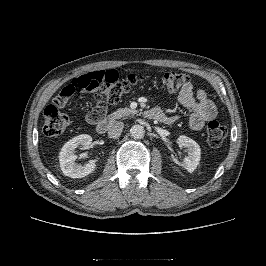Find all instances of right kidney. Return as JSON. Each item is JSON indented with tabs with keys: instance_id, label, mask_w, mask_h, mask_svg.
Returning a JSON list of instances; mask_svg holds the SVG:
<instances>
[{
	"instance_id": "1",
	"label": "right kidney",
	"mask_w": 266,
	"mask_h": 266,
	"mask_svg": "<svg viewBox=\"0 0 266 266\" xmlns=\"http://www.w3.org/2000/svg\"><path fill=\"white\" fill-rule=\"evenodd\" d=\"M91 143V136L82 134L74 137L64 144L61 152L59 153V161L61 170L65 176L71 178H83L95 170V161H90L83 166L75 163V160L77 159V155L74 154L75 149L80 145L87 148Z\"/></svg>"
}]
</instances>
